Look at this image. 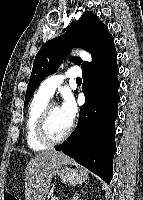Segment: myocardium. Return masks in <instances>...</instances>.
<instances>
[{"label":"myocardium","mask_w":143,"mask_h":200,"mask_svg":"<svg viewBox=\"0 0 143 200\" xmlns=\"http://www.w3.org/2000/svg\"><path fill=\"white\" fill-rule=\"evenodd\" d=\"M53 107H57L55 103H48L43 109L35 127V135L39 142L47 146H53L64 142L71 134L73 125L71 124L67 131L58 138H53L48 131V121Z\"/></svg>","instance_id":"myocardium-1"}]
</instances>
